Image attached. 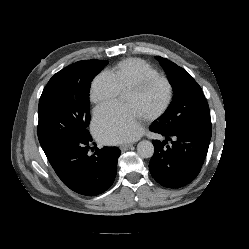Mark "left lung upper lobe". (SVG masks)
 I'll list each match as a JSON object with an SVG mask.
<instances>
[{"label":"left lung upper lobe","instance_id":"obj_1","mask_svg":"<svg viewBox=\"0 0 249 249\" xmlns=\"http://www.w3.org/2000/svg\"><path fill=\"white\" fill-rule=\"evenodd\" d=\"M173 88V99L156 124L165 133L211 129L208 103L198 83L181 67L166 58L156 56Z\"/></svg>","mask_w":249,"mask_h":249}]
</instances>
